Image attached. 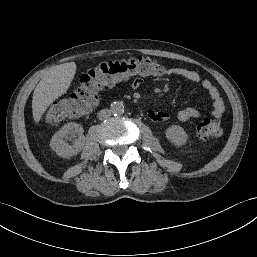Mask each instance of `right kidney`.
Instances as JSON below:
<instances>
[{
    "instance_id": "ca27d5eb",
    "label": "right kidney",
    "mask_w": 257,
    "mask_h": 257,
    "mask_svg": "<svg viewBox=\"0 0 257 257\" xmlns=\"http://www.w3.org/2000/svg\"><path fill=\"white\" fill-rule=\"evenodd\" d=\"M67 140L71 141L72 145H69ZM84 142L83 127L80 124L70 122L52 136L50 147L58 156L69 158L82 150Z\"/></svg>"
}]
</instances>
